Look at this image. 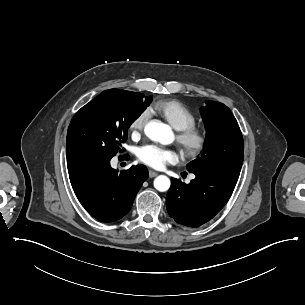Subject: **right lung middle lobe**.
I'll use <instances>...</instances> for the list:
<instances>
[{"label": "right lung middle lobe", "instance_id": "dd1d6c3e", "mask_svg": "<svg viewBox=\"0 0 305 305\" xmlns=\"http://www.w3.org/2000/svg\"><path fill=\"white\" fill-rule=\"evenodd\" d=\"M106 90L82 107L67 132V162H109L121 151L128 128L144 112L152 96Z\"/></svg>", "mask_w": 305, "mask_h": 305}]
</instances>
